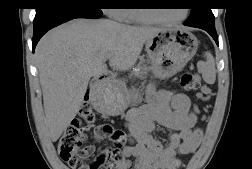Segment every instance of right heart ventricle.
Segmentation results:
<instances>
[{"instance_id":"1","label":"right heart ventricle","mask_w":252,"mask_h":169,"mask_svg":"<svg viewBox=\"0 0 252 169\" xmlns=\"http://www.w3.org/2000/svg\"><path fill=\"white\" fill-rule=\"evenodd\" d=\"M122 15H123L122 20L127 23H143L144 22L138 17L136 10L132 8L124 9Z\"/></svg>"}]
</instances>
